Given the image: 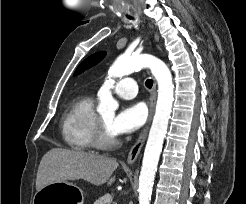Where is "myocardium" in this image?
Returning a JSON list of instances; mask_svg holds the SVG:
<instances>
[{"label":"myocardium","instance_id":"1","mask_svg":"<svg viewBox=\"0 0 246 204\" xmlns=\"http://www.w3.org/2000/svg\"><path fill=\"white\" fill-rule=\"evenodd\" d=\"M93 140L95 147L101 149H111L116 147L119 143L118 138L108 131L99 115H97L96 119Z\"/></svg>","mask_w":246,"mask_h":204}]
</instances>
